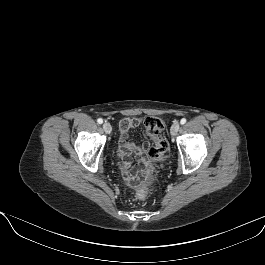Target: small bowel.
<instances>
[{
  "mask_svg": "<svg viewBox=\"0 0 265 265\" xmlns=\"http://www.w3.org/2000/svg\"><path fill=\"white\" fill-rule=\"evenodd\" d=\"M141 124H143V120L134 118H126L120 123V166L123 177L127 183H132L135 179V172L131 169V156L135 155L141 157L150 147L149 142H144L142 145H136L129 140V131Z\"/></svg>",
  "mask_w": 265,
  "mask_h": 265,
  "instance_id": "c3829d8e",
  "label": "small bowel"
}]
</instances>
